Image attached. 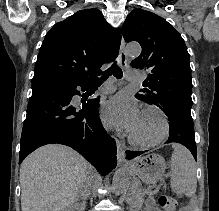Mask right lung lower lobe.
<instances>
[{
    "instance_id": "right-lung-lower-lobe-1",
    "label": "right lung lower lobe",
    "mask_w": 219,
    "mask_h": 211,
    "mask_svg": "<svg viewBox=\"0 0 219 211\" xmlns=\"http://www.w3.org/2000/svg\"><path fill=\"white\" fill-rule=\"evenodd\" d=\"M91 82L32 84L24 121L19 163L40 146L58 143L72 147L106 175L117 165L116 142L104 130L98 116V100L78 103L77 87Z\"/></svg>"
}]
</instances>
